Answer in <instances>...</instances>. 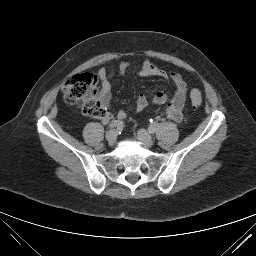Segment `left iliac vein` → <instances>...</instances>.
Masks as SVG:
<instances>
[{"instance_id":"4c4485c4","label":"left iliac vein","mask_w":256,"mask_h":256,"mask_svg":"<svg viewBox=\"0 0 256 256\" xmlns=\"http://www.w3.org/2000/svg\"><path fill=\"white\" fill-rule=\"evenodd\" d=\"M137 138L146 147H152L154 145V140H153L152 136L144 129H139L137 131Z\"/></svg>"}]
</instances>
